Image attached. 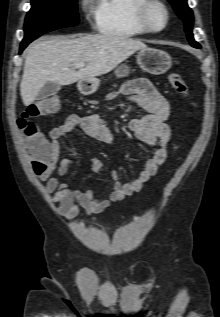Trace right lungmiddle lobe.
<instances>
[{"instance_id": "dd1d6c3e", "label": "right lung middle lobe", "mask_w": 220, "mask_h": 317, "mask_svg": "<svg viewBox=\"0 0 220 317\" xmlns=\"http://www.w3.org/2000/svg\"><path fill=\"white\" fill-rule=\"evenodd\" d=\"M31 5L22 42L32 41L56 29L76 26L79 22L77 0H32Z\"/></svg>"}]
</instances>
